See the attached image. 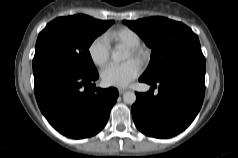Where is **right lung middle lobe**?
<instances>
[{"instance_id": "obj_1", "label": "right lung middle lobe", "mask_w": 238, "mask_h": 158, "mask_svg": "<svg viewBox=\"0 0 238 158\" xmlns=\"http://www.w3.org/2000/svg\"><path fill=\"white\" fill-rule=\"evenodd\" d=\"M113 23L81 14L59 17L40 32L33 62L53 59L84 75L96 74L89 47Z\"/></svg>"}]
</instances>
